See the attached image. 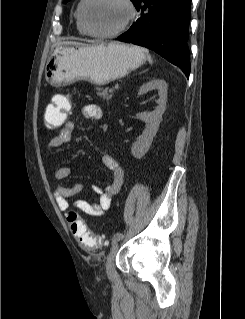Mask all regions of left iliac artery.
I'll list each match as a JSON object with an SVG mask.
<instances>
[{
	"mask_svg": "<svg viewBox=\"0 0 245 319\" xmlns=\"http://www.w3.org/2000/svg\"><path fill=\"white\" fill-rule=\"evenodd\" d=\"M124 237V235L122 233H116L114 234L113 238H112V241L115 242V241H118L120 239H122Z\"/></svg>",
	"mask_w": 245,
	"mask_h": 319,
	"instance_id": "1",
	"label": "left iliac artery"
}]
</instances>
